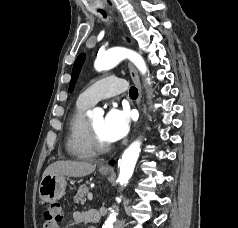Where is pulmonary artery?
Wrapping results in <instances>:
<instances>
[{"label":"pulmonary artery","instance_id":"obj_1","mask_svg":"<svg viewBox=\"0 0 238 228\" xmlns=\"http://www.w3.org/2000/svg\"><path fill=\"white\" fill-rule=\"evenodd\" d=\"M126 90L124 80L108 76L98 80L85 89L79 96V100L89 106L94 105L97 101L118 95Z\"/></svg>","mask_w":238,"mask_h":228}]
</instances>
